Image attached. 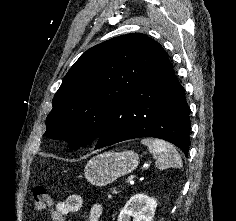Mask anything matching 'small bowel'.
Returning a JSON list of instances; mask_svg holds the SVG:
<instances>
[{"instance_id":"obj_1","label":"small bowel","mask_w":236,"mask_h":221,"mask_svg":"<svg viewBox=\"0 0 236 221\" xmlns=\"http://www.w3.org/2000/svg\"><path fill=\"white\" fill-rule=\"evenodd\" d=\"M84 200L78 194H71L63 200L57 202L55 207L50 211L53 221H64V217L70 213L81 210ZM103 209L99 203H94L88 213V221H100Z\"/></svg>"}]
</instances>
